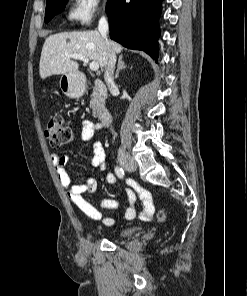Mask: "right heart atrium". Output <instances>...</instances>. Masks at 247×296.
I'll list each match as a JSON object with an SVG mask.
<instances>
[{"label":"right heart atrium","mask_w":247,"mask_h":296,"mask_svg":"<svg viewBox=\"0 0 247 296\" xmlns=\"http://www.w3.org/2000/svg\"><path fill=\"white\" fill-rule=\"evenodd\" d=\"M103 10V0H72L68 18L74 23L88 26Z\"/></svg>","instance_id":"obj_1"}]
</instances>
